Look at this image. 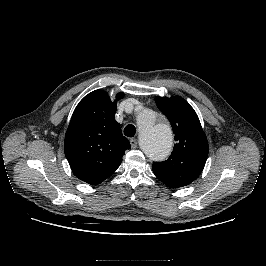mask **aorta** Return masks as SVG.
<instances>
[{
  "label": "aorta",
  "instance_id": "aorta-1",
  "mask_svg": "<svg viewBox=\"0 0 266 266\" xmlns=\"http://www.w3.org/2000/svg\"><path fill=\"white\" fill-rule=\"evenodd\" d=\"M139 142L143 152L152 160L165 159L173 143V135L168 124L162 122L157 114L149 109H142L137 117Z\"/></svg>",
  "mask_w": 266,
  "mask_h": 266
}]
</instances>
